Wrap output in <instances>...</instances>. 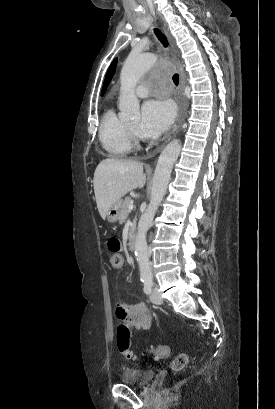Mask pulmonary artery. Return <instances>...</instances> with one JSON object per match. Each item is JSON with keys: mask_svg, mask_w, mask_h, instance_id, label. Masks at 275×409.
Wrapping results in <instances>:
<instances>
[{"mask_svg": "<svg viewBox=\"0 0 275 409\" xmlns=\"http://www.w3.org/2000/svg\"><path fill=\"white\" fill-rule=\"evenodd\" d=\"M147 91H148V88L145 87L144 85H139V86L136 87L137 95H138L139 97H141V98H143V97L146 96V92H147Z\"/></svg>", "mask_w": 275, "mask_h": 409, "instance_id": "pulmonary-artery-1", "label": "pulmonary artery"}]
</instances>
